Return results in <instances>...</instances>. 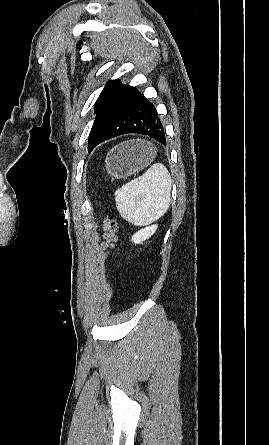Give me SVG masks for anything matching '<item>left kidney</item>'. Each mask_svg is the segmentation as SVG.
Instances as JSON below:
<instances>
[{
	"label": "left kidney",
	"mask_w": 269,
	"mask_h": 445,
	"mask_svg": "<svg viewBox=\"0 0 269 445\" xmlns=\"http://www.w3.org/2000/svg\"><path fill=\"white\" fill-rule=\"evenodd\" d=\"M156 230L157 225L145 227L132 236V241L135 244H141L143 241L149 239L156 232Z\"/></svg>",
	"instance_id": "obj_1"
}]
</instances>
